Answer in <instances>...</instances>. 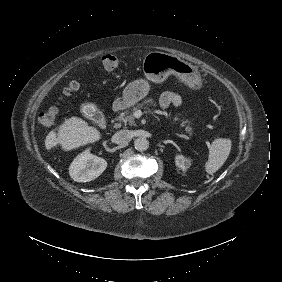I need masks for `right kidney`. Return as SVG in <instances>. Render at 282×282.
Masks as SVG:
<instances>
[{
  "instance_id": "ca27d5eb",
  "label": "right kidney",
  "mask_w": 282,
  "mask_h": 282,
  "mask_svg": "<svg viewBox=\"0 0 282 282\" xmlns=\"http://www.w3.org/2000/svg\"><path fill=\"white\" fill-rule=\"evenodd\" d=\"M106 167V160L91 154L88 148L74 158L69 166V175L76 182H89L100 176Z\"/></svg>"
}]
</instances>
